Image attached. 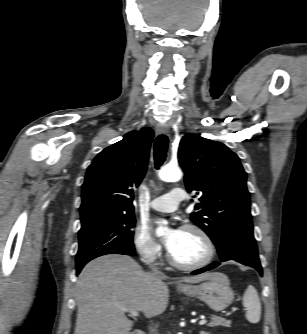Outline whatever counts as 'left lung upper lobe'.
Returning <instances> with one entry per match:
<instances>
[{
  "label": "left lung upper lobe",
  "instance_id": "obj_1",
  "mask_svg": "<svg viewBox=\"0 0 307 334\" xmlns=\"http://www.w3.org/2000/svg\"><path fill=\"white\" fill-rule=\"evenodd\" d=\"M178 158L187 191L201 195L191 221L208 234L218 251L228 235L253 233L247 174L239 157L220 142L188 133L180 141Z\"/></svg>",
  "mask_w": 307,
  "mask_h": 334
}]
</instances>
